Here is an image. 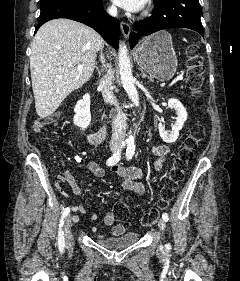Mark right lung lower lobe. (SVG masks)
Segmentation results:
<instances>
[{
	"label": "right lung lower lobe",
	"mask_w": 240,
	"mask_h": 281,
	"mask_svg": "<svg viewBox=\"0 0 240 281\" xmlns=\"http://www.w3.org/2000/svg\"><path fill=\"white\" fill-rule=\"evenodd\" d=\"M40 10L35 32L49 20L68 18L92 27L115 49L119 46L120 23L105 12L102 0H54L40 5Z\"/></svg>",
	"instance_id": "1"
}]
</instances>
